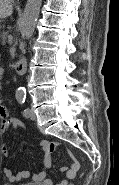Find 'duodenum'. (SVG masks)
Returning <instances> with one entry per match:
<instances>
[{"label": "duodenum", "instance_id": "410a0bca", "mask_svg": "<svg viewBox=\"0 0 119 185\" xmlns=\"http://www.w3.org/2000/svg\"><path fill=\"white\" fill-rule=\"evenodd\" d=\"M15 70L17 74L24 75L27 71V61L24 58H19L15 62Z\"/></svg>", "mask_w": 119, "mask_h": 185}]
</instances>
